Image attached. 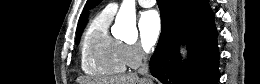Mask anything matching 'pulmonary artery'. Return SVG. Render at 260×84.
I'll return each mask as SVG.
<instances>
[{"instance_id":"pulmonary-artery-1","label":"pulmonary artery","mask_w":260,"mask_h":84,"mask_svg":"<svg viewBox=\"0 0 260 84\" xmlns=\"http://www.w3.org/2000/svg\"><path fill=\"white\" fill-rule=\"evenodd\" d=\"M138 3L142 7H152L155 4L154 0H139ZM120 4L119 3H109L104 9L107 13L114 15L118 10Z\"/></svg>"}]
</instances>
